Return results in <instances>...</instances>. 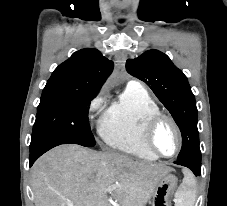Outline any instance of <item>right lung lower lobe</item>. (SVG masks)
I'll use <instances>...</instances> for the list:
<instances>
[{
  "instance_id": "right-lung-lower-lobe-1",
  "label": "right lung lower lobe",
  "mask_w": 227,
  "mask_h": 206,
  "mask_svg": "<svg viewBox=\"0 0 227 206\" xmlns=\"http://www.w3.org/2000/svg\"><path fill=\"white\" fill-rule=\"evenodd\" d=\"M70 143L67 139L61 137H48L42 139L34 144H30V159L29 166H32L33 163L39 158L43 153L50 150L51 148Z\"/></svg>"
}]
</instances>
